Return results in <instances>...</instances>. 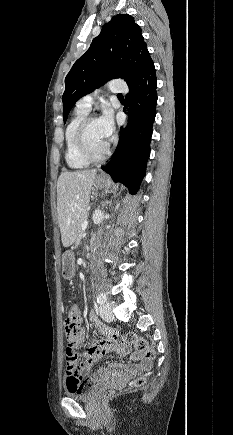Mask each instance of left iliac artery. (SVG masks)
I'll list each match as a JSON object with an SVG mask.
<instances>
[{"label":"left iliac artery","mask_w":233,"mask_h":435,"mask_svg":"<svg viewBox=\"0 0 233 435\" xmlns=\"http://www.w3.org/2000/svg\"><path fill=\"white\" fill-rule=\"evenodd\" d=\"M106 301V296L102 293L98 294L97 296V303L103 304Z\"/></svg>","instance_id":"44dca946"}]
</instances>
